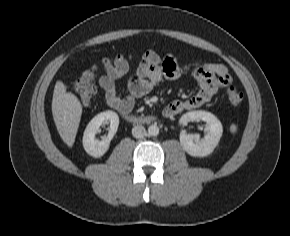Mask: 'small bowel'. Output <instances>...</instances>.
Here are the masks:
<instances>
[{
    "label": "small bowel",
    "instance_id": "obj_1",
    "mask_svg": "<svg viewBox=\"0 0 290 236\" xmlns=\"http://www.w3.org/2000/svg\"><path fill=\"white\" fill-rule=\"evenodd\" d=\"M130 70L126 60L104 65V74L98 83L110 108L122 115L132 111L135 100L148 94L164 79L179 80L192 73L198 83V91L189 99L170 102L163 111L165 117H172L181 112L201 107L209 102L222 88L228 87L231 76L224 64L201 59L196 66L180 65L173 54L159 55L155 51H146L140 62L133 67V74L128 82L127 94L121 96L117 92L116 80Z\"/></svg>",
    "mask_w": 290,
    "mask_h": 236
}]
</instances>
